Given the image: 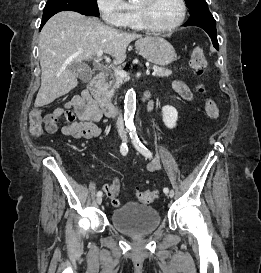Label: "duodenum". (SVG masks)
Instances as JSON below:
<instances>
[{"instance_id":"obj_1","label":"duodenum","mask_w":261,"mask_h":273,"mask_svg":"<svg viewBox=\"0 0 261 273\" xmlns=\"http://www.w3.org/2000/svg\"><path fill=\"white\" fill-rule=\"evenodd\" d=\"M105 73H99L93 77L88 84L87 89L82 93L84 99L89 104H93L101 113L107 117L115 116L118 113V107L113 104L102 92L103 85L106 80ZM148 106L150 103L147 98H144Z\"/></svg>"}]
</instances>
